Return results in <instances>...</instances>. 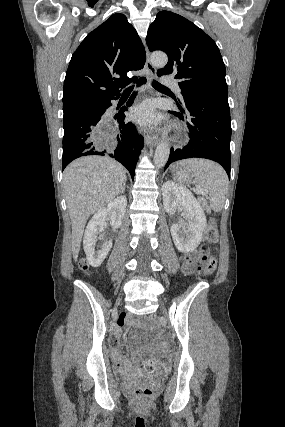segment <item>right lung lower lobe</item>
I'll return each instance as SVG.
<instances>
[{
  "mask_svg": "<svg viewBox=\"0 0 285 427\" xmlns=\"http://www.w3.org/2000/svg\"><path fill=\"white\" fill-rule=\"evenodd\" d=\"M146 82L145 78L138 80V85ZM119 96L77 106L64 113L63 116V157L62 170L74 159L87 155H105L115 158L123 164L131 174H135V167L143 147V138L138 135L135 125L124 122V112L116 114L113 118L117 122L115 138L117 143L113 150H106L104 137L108 132V118L106 110L111 106V100ZM135 93L127 105L131 106ZM127 109V108H126Z\"/></svg>",
  "mask_w": 285,
  "mask_h": 427,
  "instance_id": "obj_1",
  "label": "right lung lower lobe"
}]
</instances>
